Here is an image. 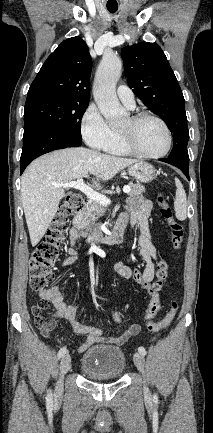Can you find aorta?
I'll use <instances>...</instances> for the list:
<instances>
[{"label": "aorta", "instance_id": "1", "mask_svg": "<svg viewBox=\"0 0 213 433\" xmlns=\"http://www.w3.org/2000/svg\"><path fill=\"white\" fill-rule=\"evenodd\" d=\"M121 71V59L113 53H105L94 81V99L101 114L112 127L120 125L125 116V110L116 95V83L121 76Z\"/></svg>", "mask_w": 213, "mask_h": 433}]
</instances>
